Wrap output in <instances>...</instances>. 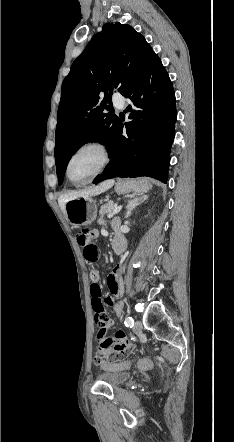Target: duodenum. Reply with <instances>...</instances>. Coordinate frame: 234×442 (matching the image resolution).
Masks as SVG:
<instances>
[{
  "label": "duodenum",
  "instance_id": "obj_1",
  "mask_svg": "<svg viewBox=\"0 0 234 442\" xmlns=\"http://www.w3.org/2000/svg\"><path fill=\"white\" fill-rule=\"evenodd\" d=\"M112 249L113 252L117 255L123 253L124 249H125V242L124 239L121 236H116V238L113 241L112 244Z\"/></svg>",
  "mask_w": 234,
  "mask_h": 442
}]
</instances>
